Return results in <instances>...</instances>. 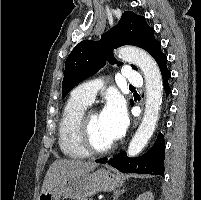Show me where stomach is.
<instances>
[{"mask_svg":"<svg viewBox=\"0 0 201 200\" xmlns=\"http://www.w3.org/2000/svg\"><path fill=\"white\" fill-rule=\"evenodd\" d=\"M122 183L118 174L102 168L94 172L73 175L52 190L41 193L38 200H61L62 197L87 200V197L98 192L112 191Z\"/></svg>","mask_w":201,"mask_h":200,"instance_id":"stomach-1","label":"stomach"}]
</instances>
